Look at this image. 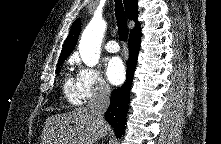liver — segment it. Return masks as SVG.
Wrapping results in <instances>:
<instances>
[{
	"mask_svg": "<svg viewBox=\"0 0 221 144\" xmlns=\"http://www.w3.org/2000/svg\"><path fill=\"white\" fill-rule=\"evenodd\" d=\"M109 126L99 123L86 107L52 115L45 121L42 144H95Z\"/></svg>",
	"mask_w": 221,
	"mask_h": 144,
	"instance_id": "liver-1",
	"label": "liver"
}]
</instances>
